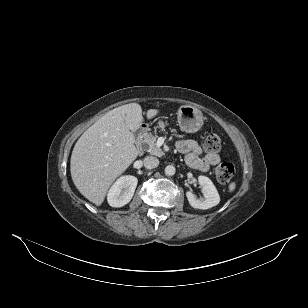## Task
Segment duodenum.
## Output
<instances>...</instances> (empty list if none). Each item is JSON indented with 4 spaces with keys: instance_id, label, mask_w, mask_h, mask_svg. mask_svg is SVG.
I'll return each mask as SVG.
<instances>
[{
    "instance_id": "410a0bca",
    "label": "duodenum",
    "mask_w": 308,
    "mask_h": 308,
    "mask_svg": "<svg viewBox=\"0 0 308 308\" xmlns=\"http://www.w3.org/2000/svg\"><path fill=\"white\" fill-rule=\"evenodd\" d=\"M147 133V127L145 125L141 126L137 132H136V136H137V140H138V152L142 153L143 148H142V142H143V138Z\"/></svg>"
}]
</instances>
